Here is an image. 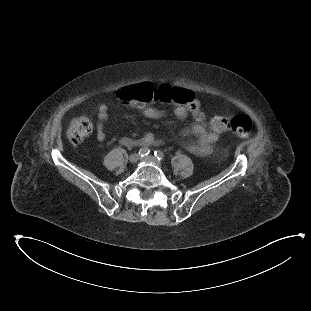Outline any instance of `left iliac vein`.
<instances>
[{
  "label": "left iliac vein",
  "mask_w": 311,
  "mask_h": 311,
  "mask_svg": "<svg viewBox=\"0 0 311 311\" xmlns=\"http://www.w3.org/2000/svg\"><path fill=\"white\" fill-rule=\"evenodd\" d=\"M142 160L145 162H150V163L160 165V163L157 161V159L153 156H146V157L142 158Z\"/></svg>",
  "instance_id": "obj_1"
}]
</instances>
